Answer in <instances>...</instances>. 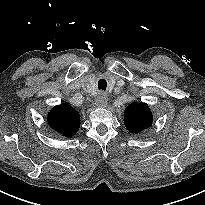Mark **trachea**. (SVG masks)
<instances>
[{"instance_id":"3493384b","label":"trachea","mask_w":205,"mask_h":205,"mask_svg":"<svg viewBox=\"0 0 205 205\" xmlns=\"http://www.w3.org/2000/svg\"><path fill=\"white\" fill-rule=\"evenodd\" d=\"M106 87H107V82L105 79H100L98 81V88L99 90H106Z\"/></svg>"}]
</instances>
